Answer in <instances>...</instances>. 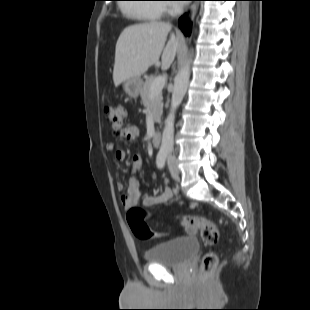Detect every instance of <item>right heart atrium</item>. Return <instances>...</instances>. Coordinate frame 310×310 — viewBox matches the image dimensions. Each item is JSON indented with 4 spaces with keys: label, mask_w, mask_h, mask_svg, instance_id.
<instances>
[{
    "label": "right heart atrium",
    "mask_w": 310,
    "mask_h": 310,
    "mask_svg": "<svg viewBox=\"0 0 310 310\" xmlns=\"http://www.w3.org/2000/svg\"><path fill=\"white\" fill-rule=\"evenodd\" d=\"M160 8L162 9V12L163 11L169 12L173 9L172 5H170V4L162 5Z\"/></svg>",
    "instance_id": "right-heart-atrium-1"
}]
</instances>
